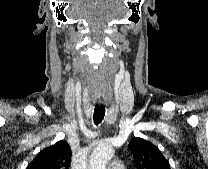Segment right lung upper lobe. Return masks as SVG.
Masks as SVG:
<instances>
[{
  "label": "right lung upper lobe",
  "mask_w": 208,
  "mask_h": 169,
  "mask_svg": "<svg viewBox=\"0 0 208 169\" xmlns=\"http://www.w3.org/2000/svg\"><path fill=\"white\" fill-rule=\"evenodd\" d=\"M71 162V148L64 140L40 151L27 169H68Z\"/></svg>",
  "instance_id": "obj_1"
}]
</instances>
